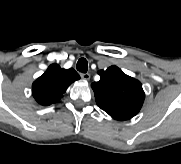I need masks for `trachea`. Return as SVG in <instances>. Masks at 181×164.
Masks as SVG:
<instances>
[{"mask_svg": "<svg viewBox=\"0 0 181 164\" xmlns=\"http://www.w3.org/2000/svg\"><path fill=\"white\" fill-rule=\"evenodd\" d=\"M76 68L78 71H80L82 73H86L88 70L87 60L85 58H80L77 62Z\"/></svg>", "mask_w": 181, "mask_h": 164, "instance_id": "1", "label": "trachea"}]
</instances>
